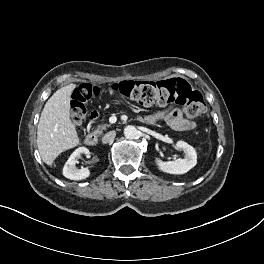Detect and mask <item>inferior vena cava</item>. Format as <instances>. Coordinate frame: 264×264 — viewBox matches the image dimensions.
Returning a JSON list of instances; mask_svg holds the SVG:
<instances>
[{
  "mask_svg": "<svg viewBox=\"0 0 264 264\" xmlns=\"http://www.w3.org/2000/svg\"><path fill=\"white\" fill-rule=\"evenodd\" d=\"M116 136V132L115 131H110L108 133H106L103 137H102V142L104 144L112 142L114 140Z\"/></svg>",
  "mask_w": 264,
  "mask_h": 264,
  "instance_id": "inferior-vena-cava-1",
  "label": "inferior vena cava"
}]
</instances>
